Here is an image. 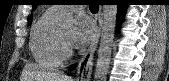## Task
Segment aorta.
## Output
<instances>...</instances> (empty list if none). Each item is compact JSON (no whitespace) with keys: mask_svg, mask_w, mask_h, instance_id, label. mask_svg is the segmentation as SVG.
Returning a JSON list of instances; mask_svg holds the SVG:
<instances>
[{"mask_svg":"<svg viewBox=\"0 0 169 81\" xmlns=\"http://www.w3.org/2000/svg\"><path fill=\"white\" fill-rule=\"evenodd\" d=\"M116 20L117 5H104L101 37L94 75L95 81H106L114 43ZM58 24L62 28H70L73 25V16L68 12L61 13L58 18Z\"/></svg>","mask_w":169,"mask_h":81,"instance_id":"obj_1","label":"aorta"}]
</instances>
